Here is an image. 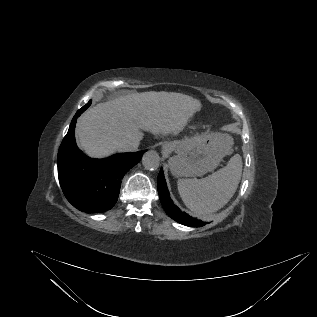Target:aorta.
<instances>
[{
	"label": "aorta",
	"mask_w": 317,
	"mask_h": 317,
	"mask_svg": "<svg viewBox=\"0 0 317 317\" xmlns=\"http://www.w3.org/2000/svg\"><path fill=\"white\" fill-rule=\"evenodd\" d=\"M142 164L146 170L155 171L160 165L159 154L154 150H149L144 153Z\"/></svg>",
	"instance_id": "1"
}]
</instances>
